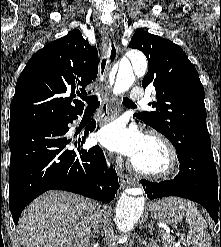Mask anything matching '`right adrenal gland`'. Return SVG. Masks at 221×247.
Returning a JSON list of instances; mask_svg holds the SVG:
<instances>
[{
	"mask_svg": "<svg viewBox=\"0 0 221 247\" xmlns=\"http://www.w3.org/2000/svg\"><path fill=\"white\" fill-rule=\"evenodd\" d=\"M95 232H96L97 234L99 233V231H98V228H97V227H96ZM90 237L94 238V237H95V235H93V234H92ZM90 237H89V238H90Z\"/></svg>",
	"mask_w": 221,
	"mask_h": 247,
	"instance_id": "obj_1",
	"label": "right adrenal gland"
}]
</instances>
